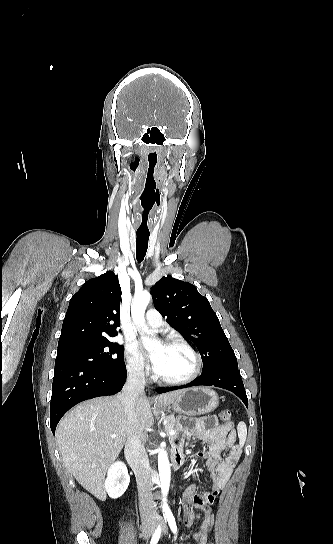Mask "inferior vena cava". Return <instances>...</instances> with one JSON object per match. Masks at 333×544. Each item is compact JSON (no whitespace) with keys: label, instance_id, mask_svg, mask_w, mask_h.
I'll list each match as a JSON object with an SVG mask.
<instances>
[{"label":"inferior vena cava","instance_id":"obj_1","mask_svg":"<svg viewBox=\"0 0 333 544\" xmlns=\"http://www.w3.org/2000/svg\"><path fill=\"white\" fill-rule=\"evenodd\" d=\"M144 387L145 375L143 369L139 367L130 369L126 384L122 390L121 399L132 424L135 423L136 399L140 395H144ZM125 454L136 476L140 514L141 518L145 520L155 515V503L152 495L151 468L138 432L133 431L128 437Z\"/></svg>","mask_w":333,"mask_h":544}]
</instances>
